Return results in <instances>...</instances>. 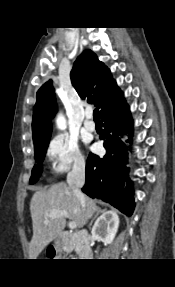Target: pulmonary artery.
Segmentation results:
<instances>
[{"mask_svg":"<svg viewBox=\"0 0 175 287\" xmlns=\"http://www.w3.org/2000/svg\"><path fill=\"white\" fill-rule=\"evenodd\" d=\"M84 126L89 131H95V123L92 121V112L87 111L86 112V119L84 121Z\"/></svg>","mask_w":175,"mask_h":287,"instance_id":"pulmonary-artery-1","label":"pulmonary artery"}]
</instances>
